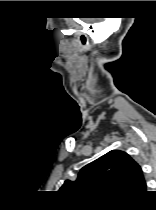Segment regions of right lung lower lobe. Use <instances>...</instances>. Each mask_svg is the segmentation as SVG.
Here are the masks:
<instances>
[{
  "mask_svg": "<svg viewBox=\"0 0 156 210\" xmlns=\"http://www.w3.org/2000/svg\"><path fill=\"white\" fill-rule=\"evenodd\" d=\"M143 195L137 197V198H134L132 201H136V200H139Z\"/></svg>",
  "mask_w": 156,
  "mask_h": 210,
  "instance_id": "98d812e1",
  "label": "right lung lower lobe"
}]
</instances>
